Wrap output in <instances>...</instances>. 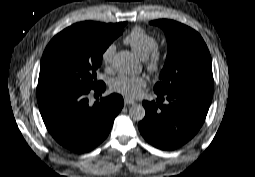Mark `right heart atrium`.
Masks as SVG:
<instances>
[{
	"label": "right heart atrium",
	"instance_id": "1",
	"mask_svg": "<svg viewBox=\"0 0 255 177\" xmlns=\"http://www.w3.org/2000/svg\"><path fill=\"white\" fill-rule=\"evenodd\" d=\"M115 52H116V46L114 43H109L108 45H106V47L103 49L101 54V61L103 65L105 66L111 65Z\"/></svg>",
	"mask_w": 255,
	"mask_h": 177
}]
</instances>
